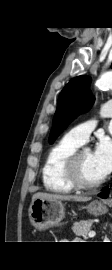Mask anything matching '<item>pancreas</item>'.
<instances>
[{
	"label": "pancreas",
	"mask_w": 112,
	"mask_h": 270,
	"mask_svg": "<svg viewBox=\"0 0 112 270\" xmlns=\"http://www.w3.org/2000/svg\"><path fill=\"white\" fill-rule=\"evenodd\" d=\"M91 226V220H82L74 223L72 230L77 236H82L84 239H87V236L91 230Z\"/></svg>",
	"instance_id": "pancreas-1"
}]
</instances>
